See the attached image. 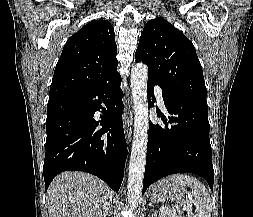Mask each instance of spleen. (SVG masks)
I'll list each match as a JSON object with an SVG mask.
<instances>
[{
	"instance_id": "spleen-1",
	"label": "spleen",
	"mask_w": 253,
	"mask_h": 217,
	"mask_svg": "<svg viewBox=\"0 0 253 217\" xmlns=\"http://www.w3.org/2000/svg\"><path fill=\"white\" fill-rule=\"evenodd\" d=\"M169 180L176 185L188 186L192 189L194 199L190 200L189 204H194L196 207L195 217H211V198L206 187L199 180L186 174L171 175Z\"/></svg>"
}]
</instances>
